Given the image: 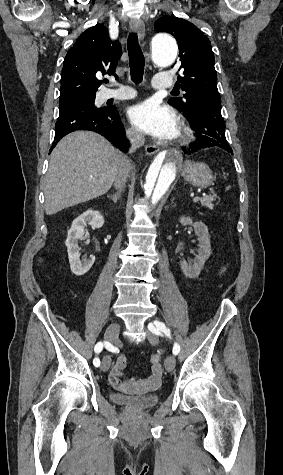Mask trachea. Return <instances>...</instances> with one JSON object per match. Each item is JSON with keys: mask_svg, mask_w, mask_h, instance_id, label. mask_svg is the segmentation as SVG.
Segmentation results:
<instances>
[{"mask_svg": "<svg viewBox=\"0 0 283 475\" xmlns=\"http://www.w3.org/2000/svg\"><path fill=\"white\" fill-rule=\"evenodd\" d=\"M127 47L131 80L136 84L141 83L144 75L145 58L136 33L129 34Z\"/></svg>", "mask_w": 283, "mask_h": 475, "instance_id": "3493384b", "label": "trachea"}]
</instances>
